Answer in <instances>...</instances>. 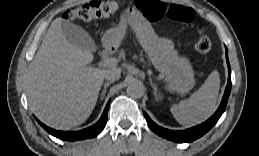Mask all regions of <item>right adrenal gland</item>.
Returning a JSON list of instances; mask_svg holds the SVG:
<instances>
[{"label":"right adrenal gland","instance_id":"obj_1","mask_svg":"<svg viewBox=\"0 0 259 156\" xmlns=\"http://www.w3.org/2000/svg\"><path fill=\"white\" fill-rule=\"evenodd\" d=\"M110 84H112L111 81H110V82H106V83L104 84V88H103L102 93H101V100H103V98H104V96H105V94H106L107 88H108V86H109Z\"/></svg>","mask_w":259,"mask_h":156}]
</instances>
